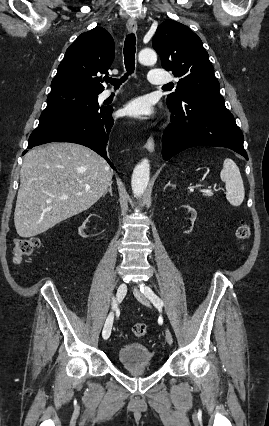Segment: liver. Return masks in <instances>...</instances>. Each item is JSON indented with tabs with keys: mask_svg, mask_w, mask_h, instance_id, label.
<instances>
[{
	"mask_svg": "<svg viewBox=\"0 0 269 426\" xmlns=\"http://www.w3.org/2000/svg\"><path fill=\"white\" fill-rule=\"evenodd\" d=\"M112 177L108 163L83 145L49 143L29 151L20 171L14 212L18 235H39L89 209Z\"/></svg>",
	"mask_w": 269,
	"mask_h": 426,
	"instance_id": "1",
	"label": "liver"
}]
</instances>
